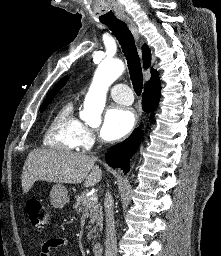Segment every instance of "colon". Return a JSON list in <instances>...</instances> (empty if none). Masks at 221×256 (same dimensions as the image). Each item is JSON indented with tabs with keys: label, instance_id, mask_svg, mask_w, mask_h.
Here are the masks:
<instances>
[{
	"label": "colon",
	"instance_id": "1",
	"mask_svg": "<svg viewBox=\"0 0 221 256\" xmlns=\"http://www.w3.org/2000/svg\"><path fill=\"white\" fill-rule=\"evenodd\" d=\"M26 210L32 227L36 230H43L49 223L50 214L43 203L38 199H29Z\"/></svg>",
	"mask_w": 221,
	"mask_h": 256
}]
</instances>
